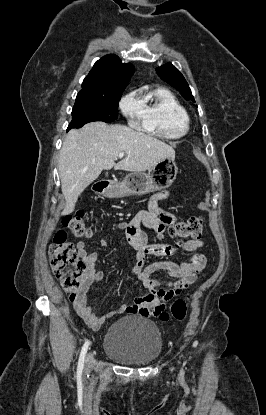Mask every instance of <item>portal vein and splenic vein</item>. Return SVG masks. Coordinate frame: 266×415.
<instances>
[{"label":"portal vein and splenic vein","mask_w":266,"mask_h":415,"mask_svg":"<svg viewBox=\"0 0 266 415\" xmlns=\"http://www.w3.org/2000/svg\"><path fill=\"white\" fill-rule=\"evenodd\" d=\"M123 156H124V153L123 152H121V153L118 154V157L119 158H123Z\"/></svg>","instance_id":"portal-vein-and-splenic-vein-1"}]
</instances>
